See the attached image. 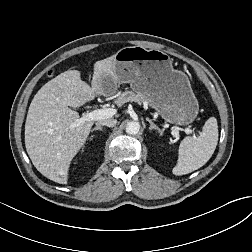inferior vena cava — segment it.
Listing matches in <instances>:
<instances>
[{
  "mask_svg": "<svg viewBox=\"0 0 252 252\" xmlns=\"http://www.w3.org/2000/svg\"><path fill=\"white\" fill-rule=\"evenodd\" d=\"M117 123L116 119L110 118V119H106V120H101L97 123V125L99 126H108V127H114Z\"/></svg>",
  "mask_w": 252,
  "mask_h": 252,
  "instance_id": "inferior-vena-cava-1",
  "label": "inferior vena cava"
}]
</instances>
